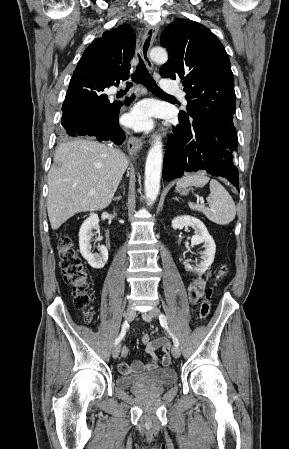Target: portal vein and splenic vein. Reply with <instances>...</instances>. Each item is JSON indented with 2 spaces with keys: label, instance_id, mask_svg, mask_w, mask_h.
Returning a JSON list of instances; mask_svg holds the SVG:
<instances>
[{
  "label": "portal vein and splenic vein",
  "instance_id": "obj_1",
  "mask_svg": "<svg viewBox=\"0 0 289 449\" xmlns=\"http://www.w3.org/2000/svg\"><path fill=\"white\" fill-rule=\"evenodd\" d=\"M90 194H93V192H90ZM201 203L203 204L204 202H203V201H201Z\"/></svg>",
  "mask_w": 289,
  "mask_h": 449
}]
</instances>
